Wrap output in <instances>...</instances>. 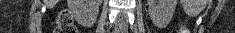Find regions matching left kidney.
<instances>
[{
	"instance_id": "1",
	"label": "left kidney",
	"mask_w": 235,
	"mask_h": 33,
	"mask_svg": "<svg viewBox=\"0 0 235 33\" xmlns=\"http://www.w3.org/2000/svg\"><path fill=\"white\" fill-rule=\"evenodd\" d=\"M148 12L157 25H166L170 22L176 9L177 0H147Z\"/></svg>"
}]
</instances>
